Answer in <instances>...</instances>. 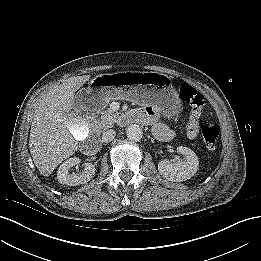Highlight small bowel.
I'll return each mask as SVG.
<instances>
[{
  "mask_svg": "<svg viewBox=\"0 0 261 261\" xmlns=\"http://www.w3.org/2000/svg\"><path fill=\"white\" fill-rule=\"evenodd\" d=\"M134 117L138 122L151 123L154 121L157 110L153 106H146L133 111ZM154 136L161 141H170L173 139L175 133L168 126L162 123H154L152 127Z\"/></svg>",
  "mask_w": 261,
  "mask_h": 261,
  "instance_id": "c3829d8e",
  "label": "small bowel"
}]
</instances>
